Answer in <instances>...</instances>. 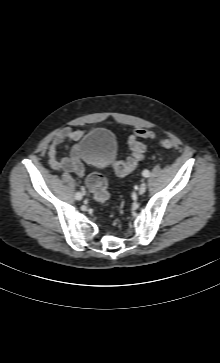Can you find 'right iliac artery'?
I'll list each match as a JSON object with an SVG mask.
<instances>
[{"label":"right iliac artery","mask_w":220,"mask_h":363,"mask_svg":"<svg viewBox=\"0 0 220 363\" xmlns=\"http://www.w3.org/2000/svg\"><path fill=\"white\" fill-rule=\"evenodd\" d=\"M75 198H76V200H81V198H82L81 193H80V192H77V193L75 194Z\"/></svg>","instance_id":"82829eb1"}]
</instances>
